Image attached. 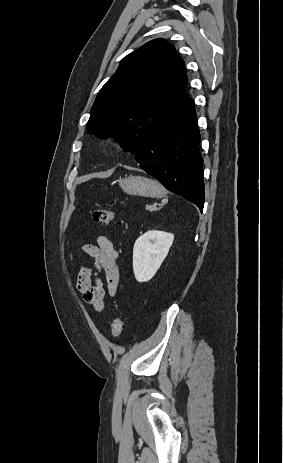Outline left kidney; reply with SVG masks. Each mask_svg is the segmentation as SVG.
I'll return each mask as SVG.
<instances>
[{"label":"left kidney","instance_id":"1","mask_svg":"<svg viewBox=\"0 0 283 463\" xmlns=\"http://www.w3.org/2000/svg\"><path fill=\"white\" fill-rule=\"evenodd\" d=\"M174 235L151 230L140 236L133 249V271L138 282L154 277L172 246Z\"/></svg>","mask_w":283,"mask_h":463}]
</instances>
